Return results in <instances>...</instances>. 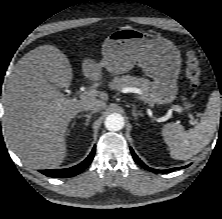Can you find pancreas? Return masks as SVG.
Returning a JSON list of instances; mask_svg holds the SVG:
<instances>
[{"mask_svg": "<svg viewBox=\"0 0 222 219\" xmlns=\"http://www.w3.org/2000/svg\"><path fill=\"white\" fill-rule=\"evenodd\" d=\"M110 87L117 91H122V89L126 87H136L143 92L142 98L144 101L151 105L157 101L156 94L154 93L155 85L146 78H139L130 75L115 77L110 83ZM186 106L189 107L190 104H186Z\"/></svg>", "mask_w": 222, "mask_h": 219, "instance_id": "obj_1", "label": "pancreas"}]
</instances>
